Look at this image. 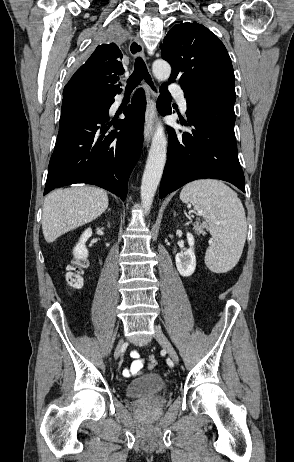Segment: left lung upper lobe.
I'll return each mask as SVG.
<instances>
[{
	"label": "left lung upper lobe",
	"instance_id": "1",
	"mask_svg": "<svg viewBox=\"0 0 294 462\" xmlns=\"http://www.w3.org/2000/svg\"><path fill=\"white\" fill-rule=\"evenodd\" d=\"M161 55L172 66L169 81L178 79L185 97L215 92L236 99L230 56L223 43L203 25H175L161 44Z\"/></svg>",
	"mask_w": 294,
	"mask_h": 462
}]
</instances>
